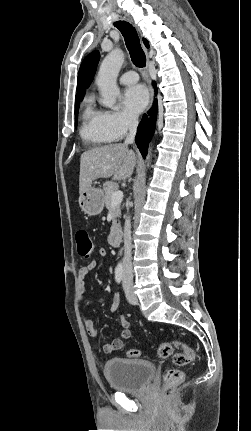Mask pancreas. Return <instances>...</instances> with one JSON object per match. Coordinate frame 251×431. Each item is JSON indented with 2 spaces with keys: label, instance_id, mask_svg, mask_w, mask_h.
<instances>
[{
  "label": "pancreas",
  "instance_id": "cf45deb5",
  "mask_svg": "<svg viewBox=\"0 0 251 431\" xmlns=\"http://www.w3.org/2000/svg\"><path fill=\"white\" fill-rule=\"evenodd\" d=\"M117 190H118L117 185L112 181H107L103 184L104 202H105L106 208L111 210L112 212L113 219H112L111 231H114L120 227V223L117 220V218L121 216L120 204L112 205L111 203V196Z\"/></svg>",
  "mask_w": 251,
  "mask_h": 431
}]
</instances>
